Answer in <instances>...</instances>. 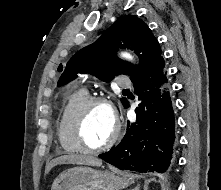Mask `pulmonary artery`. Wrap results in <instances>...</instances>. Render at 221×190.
Wrapping results in <instances>:
<instances>
[{
    "mask_svg": "<svg viewBox=\"0 0 221 190\" xmlns=\"http://www.w3.org/2000/svg\"><path fill=\"white\" fill-rule=\"evenodd\" d=\"M116 85L121 88L131 87L132 83L127 76H119L116 81Z\"/></svg>",
    "mask_w": 221,
    "mask_h": 190,
    "instance_id": "obj_1",
    "label": "pulmonary artery"
}]
</instances>
